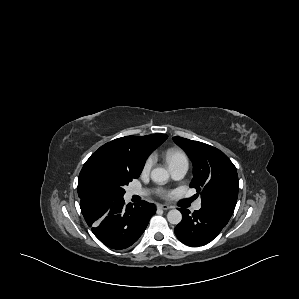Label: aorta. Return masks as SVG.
Masks as SVG:
<instances>
[{
    "instance_id": "aorta-1",
    "label": "aorta",
    "mask_w": 299,
    "mask_h": 299,
    "mask_svg": "<svg viewBox=\"0 0 299 299\" xmlns=\"http://www.w3.org/2000/svg\"><path fill=\"white\" fill-rule=\"evenodd\" d=\"M169 178V173L164 168H155L151 171V179L156 183L166 182ZM167 220L169 223L177 225L182 220V214L177 209H172L167 214Z\"/></svg>"
}]
</instances>
